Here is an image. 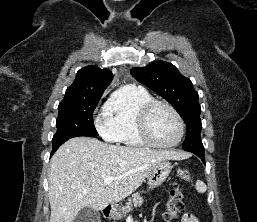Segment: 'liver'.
<instances>
[{"label":"liver","instance_id":"1","mask_svg":"<svg viewBox=\"0 0 257 222\" xmlns=\"http://www.w3.org/2000/svg\"><path fill=\"white\" fill-rule=\"evenodd\" d=\"M185 153L111 145L95 138L68 140L53 155L49 175L50 222H73L89 207L105 209L134 192L156 163ZM106 177H113L104 185Z\"/></svg>","mask_w":257,"mask_h":222}]
</instances>
